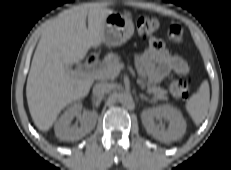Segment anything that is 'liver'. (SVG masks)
<instances>
[{
	"label": "liver",
	"mask_w": 231,
	"mask_h": 170,
	"mask_svg": "<svg viewBox=\"0 0 231 170\" xmlns=\"http://www.w3.org/2000/svg\"><path fill=\"white\" fill-rule=\"evenodd\" d=\"M111 13L113 10L98 5H80L63 12L45 28L26 85L29 111L39 130L48 131L62 109L88 95L94 79L72 75L68 69L83 60L90 48L103 43L102 26Z\"/></svg>",
	"instance_id": "6515ba94"
}]
</instances>
